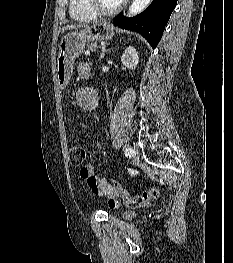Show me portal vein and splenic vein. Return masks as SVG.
<instances>
[{
	"label": "portal vein and splenic vein",
	"instance_id": "portal-vein-and-splenic-vein-1",
	"mask_svg": "<svg viewBox=\"0 0 233 263\" xmlns=\"http://www.w3.org/2000/svg\"><path fill=\"white\" fill-rule=\"evenodd\" d=\"M85 54H86V55H90V52H89V51H86Z\"/></svg>",
	"mask_w": 233,
	"mask_h": 263
}]
</instances>
